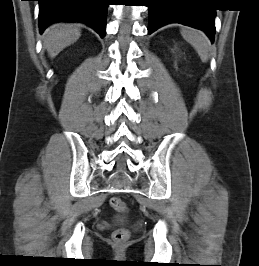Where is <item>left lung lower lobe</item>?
Segmentation results:
<instances>
[{
	"label": "left lung lower lobe",
	"instance_id": "1",
	"mask_svg": "<svg viewBox=\"0 0 259 266\" xmlns=\"http://www.w3.org/2000/svg\"><path fill=\"white\" fill-rule=\"evenodd\" d=\"M190 0H148L151 34L168 23H180L204 31L211 42L215 33V10L204 7L202 1L192 5Z\"/></svg>",
	"mask_w": 259,
	"mask_h": 266
}]
</instances>
